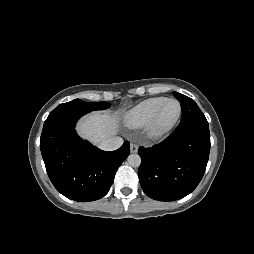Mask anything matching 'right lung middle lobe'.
<instances>
[{
	"label": "right lung middle lobe",
	"instance_id": "obj_1",
	"mask_svg": "<svg viewBox=\"0 0 254 254\" xmlns=\"http://www.w3.org/2000/svg\"><path fill=\"white\" fill-rule=\"evenodd\" d=\"M58 107H74V108L84 109L88 111H93V110L107 109L110 107V103L108 102L88 103L80 99H75L71 102L60 104Z\"/></svg>",
	"mask_w": 254,
	"mask_h": 254
}]
</instances>
